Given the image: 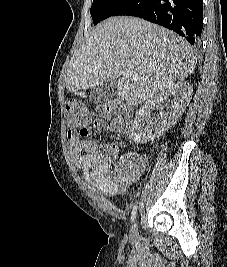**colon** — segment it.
Segmentation results:
<instances>
[{
	"instance_id": "obj_1",
	"label": "colon",
	"mask_w": 227,
	"mask_h": 267,
	"mask_svg": "<svg viewBox=\"0 0 227 267\" xmlns=\"http://www.w3.org/2000/svg\"><path fill=\"white\" fill-rule=\"evenodd\" d=\"M99 113L105 118H111L114 115L120 123L128 119L126 111L118 101H110L99 109ZM66 118L71 126H83L90 122V113L88 109L79 101H70L66 106Z\"/></svg>"
}]
</instances>
